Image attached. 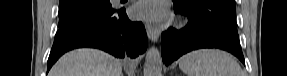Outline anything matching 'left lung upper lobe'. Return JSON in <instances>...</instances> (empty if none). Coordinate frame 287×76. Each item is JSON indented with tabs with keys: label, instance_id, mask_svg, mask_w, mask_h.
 <instances>
[{
	"label": "left lung upper lobe",
	"instance_id": "5c2ea615",
	"mask_svg": "<svg viewBox=\"0 0 287 76\" xmlns=\"http://www.w3.org/2000/svg\"><path fill=\"white\" fill-rule=\"evenodd\" d=\"M173 2L176 9L199 15L230 32H237L235 0H173Z\"/></svg>",
	"mask_w": 287,
	"mask_h": 76
}]
</instances>
